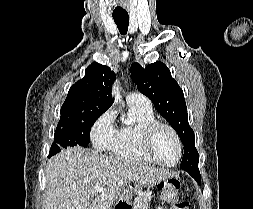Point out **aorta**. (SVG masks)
I'll return each mask as SVG.
<instances>
[{
  "instance_id": "aorta-1",
  "label": "aorta",
  "mask_w": 253,
  "mask_h": 209,
  "mask_svg": "<svg viewBox=\"0 0 253 209\" xmlns=\"http://www.w3.org/2000/svg\"><path fill=\"white\" fill-rule=\"evenodd\" d=\"M112 96L115 99V102L121 101V94H120V83L116 81L112 86Z\"/></svg>"
}]
</instances>
